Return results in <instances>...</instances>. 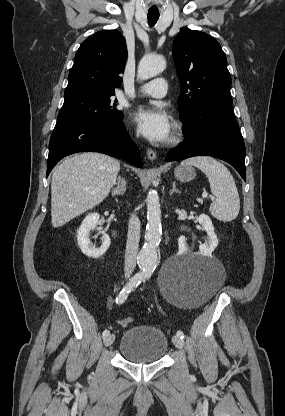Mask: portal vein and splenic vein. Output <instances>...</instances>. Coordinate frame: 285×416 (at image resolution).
Instances as JSON below:
<instances>
[{
	"label": "portal vein and splenic vein",
	"instance_id": "obj_1",
	"mask_svg": "<svg viewBox=\"0 0 285 416\" xmlns=\"http://www.w3.org/2000/svg\"><path fill=\"white\" fill-rule=\"evenodd\" d=\"M208 194H206V192H203L202 194V198H207ZM210 200H216V198H214V196H210Z\"/></svg>",
	"mask_w": 285,
	"mask_h": 416
}]
</instances>
